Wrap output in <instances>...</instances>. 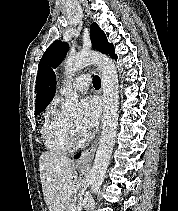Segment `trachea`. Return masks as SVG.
Listing matches in <instances>:
<instances>
[{"label":"trachea","instance_id":"3493384b","mask_svg":"<svg viewBox=\"0 0 178 211\" xmlns=\"http://www.w3.org/2000/svg\"><path fill=\"white\" fill-rule=\"evenodd\" d=\"M100 85H101L100 78L97 75H95L93 77V86H94L95 89H99Z\"/></svg>","mask_w":178,"mask_h":211}]
</instances>
